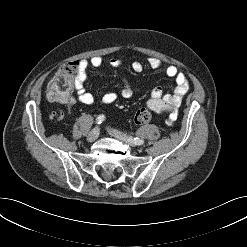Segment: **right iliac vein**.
<instances>
[{"instance_id":"1","label":"right iliac vein","mask_w":247,"mask_h":247,"mask_svg":"<svg viewBox=\"0 0 247 247\" xmlns=\"http://www.w3.org/2000/svg\"><path fill=\"white\" fill-rule=\"evenodd\" d=\"M99 136V128H94L87 136L89 142H94Z\"/></svg>"}]
</instances>
